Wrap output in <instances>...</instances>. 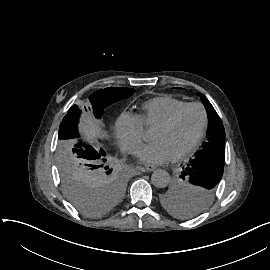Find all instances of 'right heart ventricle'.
<instances>
[{"mask_svg":"<svg viewBox=\"0 0 270 270\" xmlns=\"http://www.w3.org/2000/svg\"><path fill=\"white\" fill-rule=\"evenodd\" d=\"M187 105L186 101L167 95L155 97L141 106V112L134 114L143 128L168 119L177 110Z\"/></svg>","mask_w":270,"mask_h":270,"instance_id":"right-heart-ventricle-1","label":"right heart ventricle"}]
</instances>
